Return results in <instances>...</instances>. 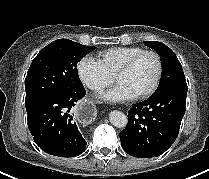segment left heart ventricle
Listing matches in <instances>:
<instances>
[{
  "mask_svg": "<svg viewBox=\"0 0 209 179\" xmlns=\"http://www.w3.org/2000/svg\"><path fill=\"white\" fill-rule=\"evenodd\" d=\"M156 72L157 64L154 57L145 55L128 72L120 75L116 82L125 86L135 96L151 86Z\"/></svg>",
  "mask_w": 209,
  "mask_h": 179,
  "instance_id": "1",
  "label": "left heart ventricle"
}]
</instances>
